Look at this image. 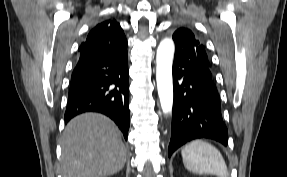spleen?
<instances>
[{"instance_id": "spleen-1", "label": "spleen", "mask_w": 287, "mask_h": 177, "mask_svg": "<svg viewBox=\"0 0 287 177\" xmlns=\"http://www.w3.org/2000/svg\"><path fill=\"white\" fill-rule=\"evenodd\" d=\"M181 154L185 168L192 173L229 177L220 151L208 142L194 140L182 149Z\"/></svg>"}]
</instances>
